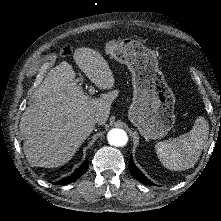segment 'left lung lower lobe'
Wrapping results in <instances>:
<instances>
[{
  "mask_svg": "<svg viewBox=\"0 0 221 221\" xmlns=\"http://www.w3.org/2000/svg\"><path fill=\"white\" fill-rule=\"evenodd\" d=\"M129 170L131 174L140 182L146 185H152L153 183L148 180L144 174L135 166L132 160V155H130V161H129Z\"/></svg>",
  "mask_w": 221,
  "mask_h": 221,
  "instance_id": "obj_1",
  "label": "left lung lower lobe"
}]
</instances>
